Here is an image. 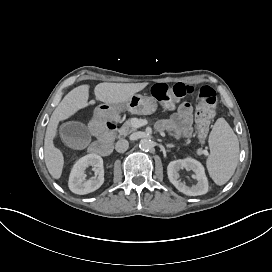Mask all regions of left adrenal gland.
I'll use <instances>...</instances> for the list:
<instances>
[{
  "mask_svg": "<svg viewBox=\"0 0 272 272\" xmlns=\"http://www.w3.org/2000/svg\"><path fill=\"white\" fill-rule=\"evenodd\" d=\"M166 147H167V148H174L175 145H174V144H166Z\"/></svg>",
  "mask_w": 272,
  "mask_h": 272,
  "instance_id": "obj_1",
  "label": "left adrenal gland"
}]
</instances>
